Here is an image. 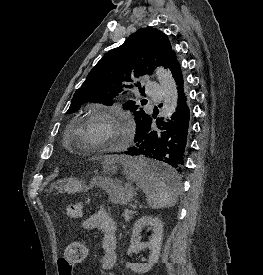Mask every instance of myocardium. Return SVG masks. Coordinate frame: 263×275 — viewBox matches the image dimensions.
I'll list each match as a JSON object with an SVG mask.
<instances>
[{"instance_id": "obj_1", "label": "myocardium", "mask_w": 263, "mask_h": 275, "mask_svg": "<svg viewBox=\"0 0 263 275\" xmlns=\"http://www.w3.org/2000/svg\"><path fill=\"white\" fill-rule=\"evenodd\" d=\"M94 121H102L107 124L109 127L107 136L101 139H91L86 136L87 128ZM75 139L79 146L87 151L116 150L121 148L126 140V129L112 112L96 109L80 120L75 130Z\"/></svg>"}]
</instances>
